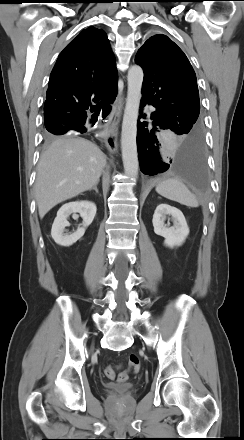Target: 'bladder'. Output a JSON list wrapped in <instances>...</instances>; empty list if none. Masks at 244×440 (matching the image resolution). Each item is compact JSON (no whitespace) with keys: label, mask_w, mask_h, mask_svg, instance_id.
<instances>
[{"label":"bladder","mask_w":244,"mask_h":440,"mask_svg":"<svg viewBox=\"0 0 244 440\" xmlns=\"http://www.w3.org/2000/svg\"><path fill=\"white\" fill-rule=\"evenodd\" d=\"M104 387L109 392L118 396L128 395L133 390V387L131 385H117L114 383L105 384Z\"/></svg>","instance_id":"1"}]
</instances>
